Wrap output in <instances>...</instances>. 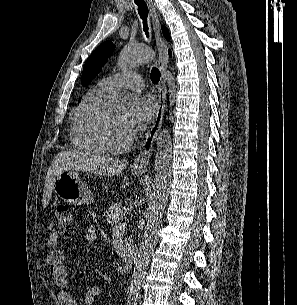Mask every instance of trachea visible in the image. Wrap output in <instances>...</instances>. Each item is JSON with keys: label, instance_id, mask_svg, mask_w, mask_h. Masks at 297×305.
Instances as JSON below:
<instances>
[{"label": "trachea", "instance_id": "obj_1", "mask_svg": "<svg viewBox=\"0 0 297 305\" xmlns=\"http://www.w3.org/2000/svg\"><path fill=\"white\" fill-rule=\"evenodd\" d=\"M135 3L138 6V13L140 15V18L143 20V25H144L143 30L148 35V26H147L148 7L144 0H135ZM150 77H151V81L154 84H157L160 80V71L156 67H153L151 70Z\"/></svg>", "mask_w": 297, "mask_h": 305}]
</instances>
